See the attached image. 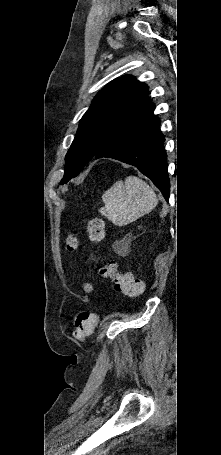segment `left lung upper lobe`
Segmentation results:
<instances>
[{"mask_svg":"<svg viewBox=\"0 0 221 455\" xmlns=\"http://www.w3.org/2000/svg\"><path fill=\"white\" fill-rule=\"evenodd\" d=\"M147 92L146 84L125 75L111 81L95 96L65 157L61 184L77 176L110 140L154 109Z\"/></svg>","mask_w":221,"mask_h":455,"instance_id":"1","label":"left lung upper lobe"}]
</instances>
